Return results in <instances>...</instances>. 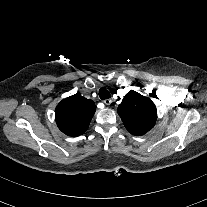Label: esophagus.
<instances>
[{"mask_svg":"<svg viewBox=\"0 0 207 207\" xmlns=\"http://www.w3.org/2000/svg\"><path fill=\"white\" fill-rule=\"evenodd\" d=\"M106 105H110L112 103V100L111 99H105L103 101Z\"/></svg>","mask_w":207,"mask_h":207,"instance_id":"1","label":"esophagus"}]
</instances>
